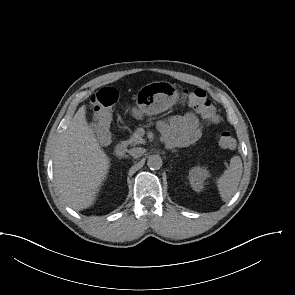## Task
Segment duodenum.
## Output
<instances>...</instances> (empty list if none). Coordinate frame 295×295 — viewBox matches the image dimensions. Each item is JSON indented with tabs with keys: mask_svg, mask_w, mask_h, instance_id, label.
Returning a JSON list of instances; mask_svg holds the SVG:
<instances>
[{
	"mask_svg": "<svg viewBox=\"0 0 295 295\" xmlns=\"http://www.w3.org/2000/svg\"><path fill=\"white\" fill-rule=\"evenodd\" d=\"M114 153L117 157H123L126 154V144L124 142H119L114 148Z\"/></svg>",
	"mask_w": 295,
	"mask_h": 295,
	"instance_id": "410a0bca",
	"label": "duodenum"
}]
</instances>
